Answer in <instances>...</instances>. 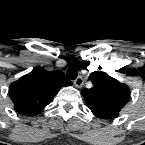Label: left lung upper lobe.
Listing matches in <instances>:
<instances>
[{
	"instance_id": "left-lung-upper-lobe-1",
	"label": "left lung upper lobe",
	"mask_w": 145,
	"mask_h": 145,
	"mask_svg": "<svg viewBox=\"0 0 145 145\" xmlns=\"http://www.w3.org/2000/svg\"><path fill=\"white\" fill-rule=\"evenodd\" d=\"M93 87L84 89L82 95L87 107L101 119H114L130 99V90L105 72L90 74Z\"/></svg>"
}]
</instances>
